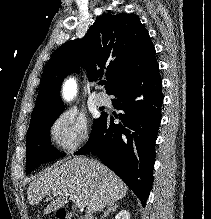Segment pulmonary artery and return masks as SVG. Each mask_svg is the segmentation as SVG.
Here are the masks:
<instances>
[{
  "instance_id": "pulmonary-artery-1",
  "label": "pulmonary artery",
  "mask_w": 211,
  "mask_h": 219,
  "mask_svg": "<svg viewBox=\"0 0 211 219\" xmlns=\"http://www.w3.org/2000/svg\"><path fill=\"white\" fill-rule=\"evenodd\" d=\"M109 97L107 94L100 92L95 96V102L99 106L107 105L109 104Z\"/></svg>"
}]
</instances>
